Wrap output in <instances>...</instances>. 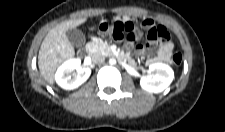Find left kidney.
Wrapping results in <instances>:
<instances>
[{
    "label": "left kidney",
    "mask_w": 225,
    "mask_h": 132,
    "mask_svg": "<svg viewBox=\"0 0 225 132\" xmlns=\"http://www.w3.org/2000/svg\"><path fill=\"white\" fill-rule=\"evenodd\" d=\"M149 76H142L140 85L142 89L150 93H160L165 90L174 79V71L164 63H153L149 65Z\"/></svg>",
    "instance_id": "5707ae66"
}]
</instances>
